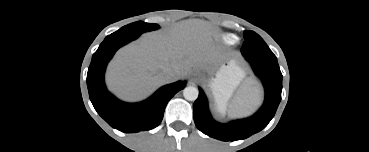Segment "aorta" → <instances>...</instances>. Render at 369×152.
<instances>
[{
  "mask_svg": "<svg viewBox=\"0 0 369 152\" xmlns=\"http://www.w3.org/2000/svg\"><path fill=\"white\" fill-rule=\"evenodd\" d=\"M199 91L196 87L188 86L183 90V96L188 101H195L198 98Z\"/></svg>",
  "mask_w": 369,
  "mask_h": 152,
  "instance_id": "762f6f07",
  "label": "aorta"
}]
</instances>
